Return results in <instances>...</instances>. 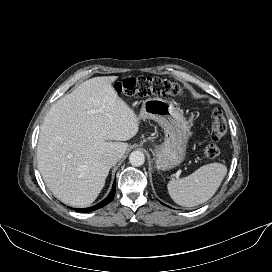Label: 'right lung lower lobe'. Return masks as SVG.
Returning <instances> with one entry per match:
<instances>
[{
    "instance_id": "right-lung-lower-lobe-1",
    "label": "right lung lower lobe",
    "mask_w": 272,
    "mask_h": 272,
    "mask_svg": "<svg viewBox=\"0 0 272 272\" xmlns=\"http://www.w3.org/2000/svg\"><path fill=\"white\" fill-rule=\"evenodd\" d=\"M115 187H116V181L113 183L112 191L109 194V196L105 200H103L100 203L96 204L95 206H92V207H89V208H83V209L75 208V210L78 211V212H90V211H94L96 209H99V208L107 205L108 203H110L113 200V198L115 196V190H116Z\"/></svg>"
}]
</instances>
